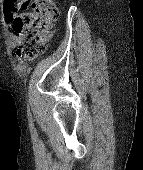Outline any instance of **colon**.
I'll list each match as a JSON object with an SVG mask.
<instances>
[{
  "label": "colon",
  "mask_w": 143,
  "mask_h": 170,
  "mask_svg": "<svg viewBox=\"0 0 143 170\" xmlns=\"http://www.w3.org/2000/svg\"><path fill=\"white\" fill-rule=\"evenodd\" d=\"M14 0H3V9L14 31L21 33L17 45V56L21 60H31L46 48L53 34V22L58 17L54 0H34L32 11L16 16L12 8Z\"/></svg>",
  "instance_id": "obj_1"
}]
</instances>
